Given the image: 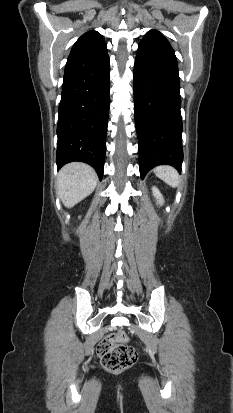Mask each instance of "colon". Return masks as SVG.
<instances>
[{
    "instance_id": "1",
    "label": "colon",
    "mask_w": 233,
    "mask_h": 413,
    "mask_svg": "<svg viewBox=\"0 0 233 413\" xmlns=\"http://www.w3.org/2000/svg\"><path fill=\"white\" fill-rule=\"evenodd\" d=\"M124 332L118 331L103 338L97 347L103 367L112 372L123 371L132 366L138 358L137 350L126 344Z\"/></svg>"
}]
</instances>
